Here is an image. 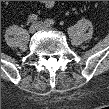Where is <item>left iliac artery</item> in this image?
I'll list each match as a JSON object with an SVG mask.
<instances>
[{
	"mask_svg": "<svg viewBox=\"0 0 109 109\" xmlns=\"http://www.w3.org/2000/svg\"><path fill=\"white\" fill-rule=\"evenodd\" d=\"M45 22L50 24V25L55 23V21L53 19H47Z\"/></svg>",
	"mask_w": 109,
	"mask_h": 109,
	"instance_id": "left-iliac-artery-1",
	"label": "left iliac artery"
}]
</instances>
